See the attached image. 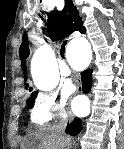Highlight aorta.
I'll return each instance as SVG.
<instances>
[{
	"label": "aorta",
	"instance_id": "aorta-1",
	"mask_svg": "<svg viewBox=\"0 0 124 149\" xmlns=\"http://www.w3.org/2000/svg\"><path fill=\"white\" fill-rule=\"evenodd\" d=\"M72 46H77V52L84 55H90V45L84 38H79L71 43ZM33 81L36 87L42 91H49L56 87L58 83V70L52 58V55L45 50L37 53L33 67ZM90 112V106L87 102L84 105L83 115Z\"/></svg>",
	"mask_w": 124,
	"mask_h": 149
}]
</instances>
